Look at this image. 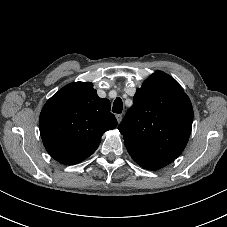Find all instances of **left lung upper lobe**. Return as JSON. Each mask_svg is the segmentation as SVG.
I'll return each mask as SVG.
<instances>
[{"label": "left lung upper lobe", "mask_w": 227, "mask_h": 227, "mask_svg": "<svg viewBox=\"0 0 227 227\" xmlns=\"http://www.w3.org/2000/svg\"><path fill=\"white\" fill-rule=\"evenodd\" d=\"M192 123L189 97L174 78L157 71L137 89L118 129L133 160L145 169L158 170L183 152Z\"/></svg>", "instance_id": "obj_1"}]
</instances>
